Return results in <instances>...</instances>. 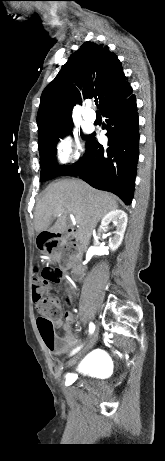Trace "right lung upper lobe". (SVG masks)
I'll return each mask as SVG.
<instances>
[{
  "label": "right lung upper lobe",
  "instance_id": "right-lung-upper-lobe-1",
  "mask_svg": "<svg viewBox=\"0 0 165 461\" xmlns=\"http://www.w3.org/2000/svg\"><path fill=\"white\" fill-rule=\"evenodd\" d=\"M132 88L121 62L108 46L85 42L44 89L37 115L38 139L72 121V109L98 96L101 112L126 99Z\"/></svg>",
  "mask_w": 165,
  "mask_h": 461
}]
</instances>
